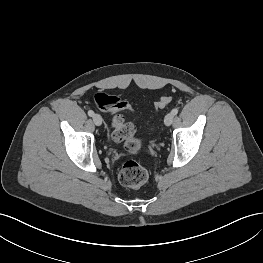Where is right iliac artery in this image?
Instances as JSON below:
<instances>
[{
    "instance_id": "1",
    "label": "right iliac artery",
    "mask_w": 263,
    "mask_h": 263,
    "mask_svg": "<svg viewBox=\"0 0 263 263\" xmlns=\"http://www.w3.org/2000/svg\"><path fill=\"white\" fill-rule=\"evenodd\" d=\"M88 115H89L90 117H92V116L94 115V112H93L92 110H89V111H88Z\"/></svg>"
}]
</instances>
